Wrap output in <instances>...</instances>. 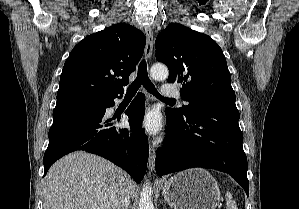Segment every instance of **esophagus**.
Segmentation results:
<instances>
[{
	"mask_svg": "<svg viewBox=\"0 0 299 209\" xmlns=\"http://www.w3.org/2000/svg\"><path fill=\"white\" fill-rule=\"evenodd\" d=\"M146 36V47H145V58L149 60L153 53V32L150 26L145 27ZM155 158L156 151L152 144H149V158H148V168L152 172L155 168Z\"/></svg>",
	"mask_w": 299,
	"mask_h": 209,
	"instance_id": "obj_1",
	"label": "esophagus"
}]
</instances>
